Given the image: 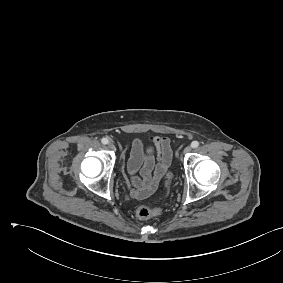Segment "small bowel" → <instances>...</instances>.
Segmentation results:
<instances>
[{"mask_svg":"<svg viewBox=\"0 0 283 283\" xmlns=\"http://www.w3.org/2000/svg\"><path fill=\"white\" fill-rule=\"evenodd\" d=\"M148 141L158 150L155 160L150 151H146V143L141 138H136L132 143L128 170L131 174V182L137 187L131 196L136 199H144L149 196L158 182L167 171L172 160L170 141L164 136L150 137ZM141 170L142 177L136 176Z\"/></svg>","mask_w":283,"mask_h":283,"instance_id":"1","label":"small bowel"}]
</instances>
